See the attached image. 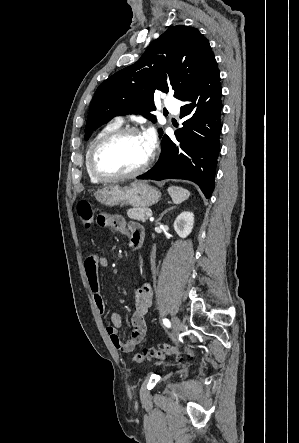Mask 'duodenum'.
I'll use <instances>...</instances> for the list:
<instances>
[{
  "mask_svg": "<svg viewBox=\"0 0 299 443\" xmlns=\"http://www.w3.org/2000/svg\"><path fill=\"white\" fill-rule=\"evenodd\" d=\"M140 245H141L140 242H138V241H134V242L131 243L130 248H131V250L134 251V250H137V249L139 248Z\"/></svg>",
  "mask_w": 299,
  "mask_h": 443,
  "instance_id": "410a0bca",
  "label": "duodenum"
}]
</instances>
